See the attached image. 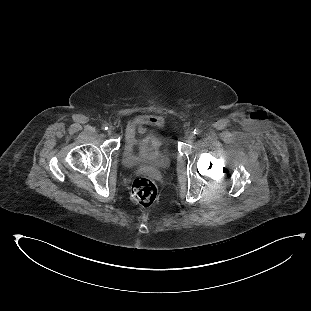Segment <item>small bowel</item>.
<instances>
[{"label":"small bowel","mask_w":311,"mask_h":311,"mask_svg":"<svg viewBox=\"0 0 311 311\" xmlns=\"http://www.w3.org/2000/svg\"><path fill=\"white\" fill-rule=\"evenodd\" d=\"M157 118L152 116L142 115L137 119V130L139 133H143L147 125H153L157 123Z\"/></svg>","instance_id":"small-bowel-1"}]
</instances>
